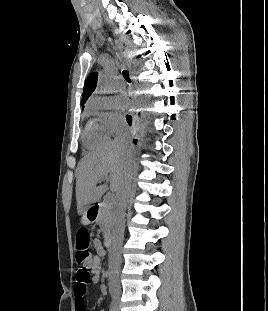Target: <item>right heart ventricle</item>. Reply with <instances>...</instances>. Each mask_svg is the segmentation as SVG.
<instances>
[{
  "instance_id": "e07e8e85",
  "label": "right heart ventricle",
  "mask_w": 268,
  "mask_h": 311,
  "mask_svg": "<svg viewBox=\"0 0 268 311\" xmlns=\"http://www.w3.org/2000/svg\"><path fill=\"white\" fill-rule=\"evenodd\" d=\"M109 140V135L103 128L94 121H89L83 134V142L88 148H96L105 144Z\"/></svg>"
}]
</instances>
